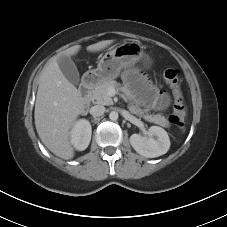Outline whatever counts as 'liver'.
Wrapping results in <instances>:
<instances>
[{"instance_id": "obj_1", "label": "liver", "mask_w": 227, "mask_h": 227, "mask_svg": "<svg viewBox=\"0 0 227 227\" xmlns=\"http://www.w3.org/2000/svg\"><path fill=\"white\" fill-rule=\"evenodd\" d=\"M112 42H98L88 46L87 51H100ZM80 48V45L72 46L48 61L40 75L36 96L34 118L37 133L52 153L65 160L74 157L70 129L84 105L79 91L64 76L57 60L61 55L76 54Z\"/></svg>"}]
</instances>
